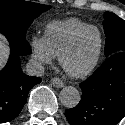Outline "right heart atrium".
<instances>
[{
    "instance_id": "d8ad5b80",
    "label": "right heart atrium",
    "mask_w": 125,
    "mask_h": 125,
    "mask_svg": "<svg viewBox=\"0 0 125 125\" xmlns=\"http://www.w3.org/2000/svg\"><path fill=\"white\" fill-rule=\"evenodd\" d=\"M31 60L37 66H43L52 63L55 59L50 51L43 36L33 35L30 38Z\"/></svg>"
}]
</instances>
